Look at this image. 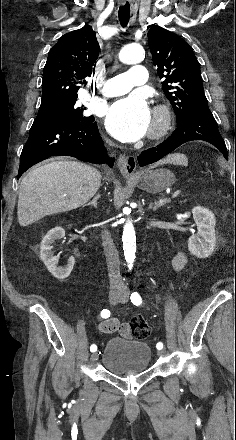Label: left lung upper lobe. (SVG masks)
<instances>
[{
    "label": "left lung upper lobe",
    "mask_w": 236,
    "mask_h": 440,
    "mask_svg": "<svg viewBox=\"0 0 236 440\" xmlns=\"http://www.w3.org/2000/svg\"><path fill=\"white\" fill-rule=\"evenodd\" d=\"M147 35L162 89L180 124L194 108L208 106L199 63L189 44L177 34L153 24Z\"/></svg>",
    "instance_id": "obj_1"
}]
</instances>
